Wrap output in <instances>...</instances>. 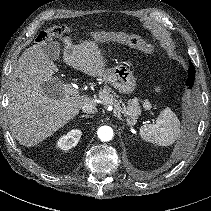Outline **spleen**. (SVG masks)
<instances>
[{
    "label": "spleen",
    "mask_w": 211,
    "mask_h": 211,
    "mask_svg": "<svg viewBox=\"0 0 211 211\" xmlns=\"http://www.w3.org/2000/svg\"><path fill=\"white\" fill-rule=\"evenodd\" d=\"M140 135L147 142L169 146L180 135V121L176 114L167 107L159 114L155 124L141 126Z\"/></svg>",
    "instance_id": "1"
}]
</instances>
